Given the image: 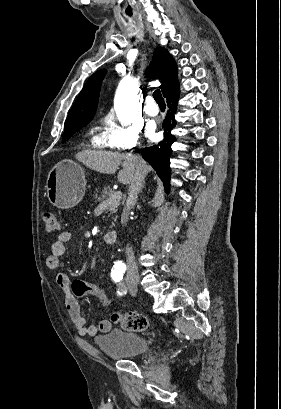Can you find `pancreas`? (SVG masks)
Wrapping results in <instances>:
<instances>
[{"instance_id":"obj_1","label":"pancreas","mask_w":281,"mask_h":409,"mask_svg":"<svg viewBox=\"0 0 281 409\" xmlns=\"http://www.w3.org/2000/svg\"><path fill=\"white\" fill-rule=\"evenodd\" d=\"M113 191L114 190H112L110 186H104V190L102 194H100V196H97L98 200H102V202H104V200H107V198H109V195L113 193ZM96 192H99V190H96ZM110 209H113V213H116L117 211L116 208H110Z\"/></svg>"}]
</instances>
